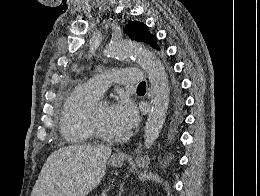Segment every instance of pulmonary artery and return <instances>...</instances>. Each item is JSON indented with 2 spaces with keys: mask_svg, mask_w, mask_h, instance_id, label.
<instances>
[{
  "mask_svg": "<svg viewBox=\"0 0 260 196\" xmlns=\"http://www.w3.org/2000/svg\"><path fill=\"white\" fill-rule=\"evenodd\" d=\"M140 69H103L101 76H94L91 79V84H99L92 86L95 92L102 96L110 84H145V79L140 76Z\"/></svg>",
  "mask_w": 260,
  "mask_h": 196,
  "instance_id": "obj_1",
  "label": "pulmonary artery"
}]
</instances>
